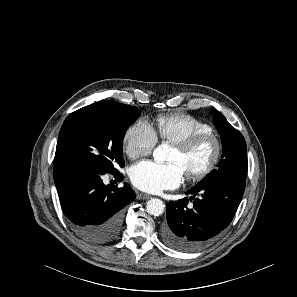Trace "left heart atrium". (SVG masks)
I'll return each mask as SVG.
<instances>
[{"label": "left heart atrium", "instance_id": "obj_1", "mask_svg": "<svg viewBox=\"0 0 297 297\" xmlns=\"http://www.w3.org/2000/svg\"><path fill=\"white\" fill-rule=\"evenodd\" d=\"M184 175L178 163L161 164L149 160L137 163L130 171L134 186L149 193L176 188L183 181Z\"/></svg>", "mask_w": 297, "mask_h": 297}]
</instances>
